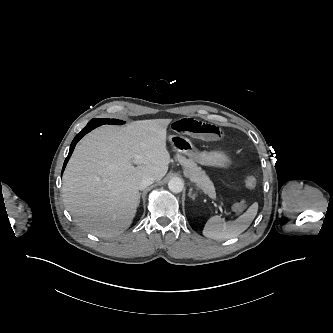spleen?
<instances>
[{"mask_svg": "<svg viewBox=\"0 0 333 333\" xmlns=\"http://www.w3.org/2000/svg\"><path fill=\"white\" fill-rule=\"evenodd\" d=\"M233 208H236L234 206ZM258 211V203H253L247 211L234 221L222 223L219 216L211 217L205 224L203 235L215 240H227L243 233L252 223Z\"/></svg>", "mask_w": 333, "mask_h": 333, "instance_id": "spleen-1", "label": "spleen"}]
</instances>
